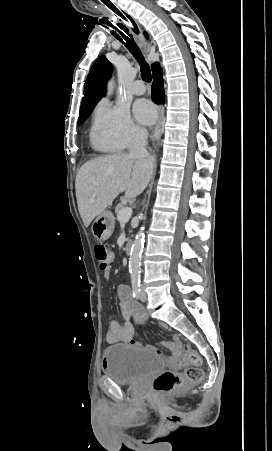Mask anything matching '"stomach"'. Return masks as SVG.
<instances>
[{"mask_svg": "<svg viewBox=\"0 0 272 451\" xmlns=\"http://www.w3.org/2000/svg\"><path fill=\"white\" fill-rule=\"evenodd\" d=\"M114 220L113 214L108 212V210H104L102 214H99L98 218L94 220L91 226V231L95 239H98V241H105V239H108L113 233L115 226Z\"/></svg>", "mask_w": 272, "mask_h": 451, "instance_id": "stomach-1", "label": "stomach"}]
</instances>
